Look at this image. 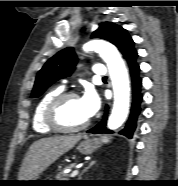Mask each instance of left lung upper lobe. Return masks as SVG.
Wrapping results in <instances>:
<instances>
[{
  "label": "left lung upper lobe",
  "mask_w": 178,
  "mask_h": 186,
  "mask_svg": "<svg viewBox=\"0 0 178 186\" xmlns=\"http://www.w3.org/2000/svg\"><path fill=\"white\" fill-rule=\"evenodd\" d=\"M92 38L105 39L114 44L126 61L137 54L134 49V42L127 31L114 23H100L98 29L92 33ZM77 61V56L72 47L65 48L51 57L37 74L32 98L42 95L57 80L70 76Z\"/></svg>",
  "instance_id": "1"
}]
</instances>
